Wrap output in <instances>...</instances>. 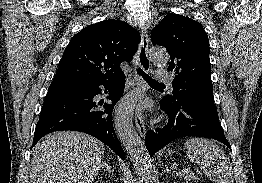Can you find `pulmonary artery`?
Wrapping results in <instances>:
<instances>
[{"label":"pulmonary artery","instance_id":"obj_1","mask_svg":"<svg viewBox=\"0 0 262 183\" xmlns=\"http://www.w3.org/2000/svg\"><path fill=\"white\" fill-rule=\"evenodd\" d=\"M160 70L157 71L159 73ZM157 80L162 83L171 84V78L169 76L157 75Z\"/></svg>","mask_w":262,"mask_h":183}]
</instances>
